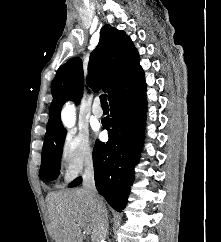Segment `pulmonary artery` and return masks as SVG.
Listing matches in <instances>:
<instances>
[{
	"label": "pulmonary artery",
	"mask_w": 221,
	"mask_h": 242,
	"mask_svg": "<svg viewBox=\"0 0 221 242\" xmlns=\"http://www.w3.org/2000/svg\"><path fill=\"white\" fill-rule=\"evenodd\" d=\"M92 114L96 118H101L103 116V109L100 106V100L96 98L92 106Z\"/></svg>",
	"instance_id": "obj_1"
}]
</instances>
